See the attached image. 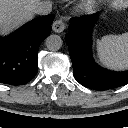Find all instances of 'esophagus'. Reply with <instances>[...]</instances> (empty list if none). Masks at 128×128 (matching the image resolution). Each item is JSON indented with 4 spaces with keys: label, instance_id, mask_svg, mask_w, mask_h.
I'll return each instance as SVG.
<instances>
[{
    "label": "esophagus",
    "instance_id": "esophagus-1",
    "mask_svg": "<svg viewBox=\"0 0 128 128\" xmlns=\"http://www.w3.org/2000/svg\"><path fill=\"white\" fill-rule=\"evenodd\" d=\"M66 23L62 19L55 20L52 25V29L56 33H61L65 30Z\"/></svg>",
    "mask_w": 128,
    "mask_h": 128
}]
</instances>
